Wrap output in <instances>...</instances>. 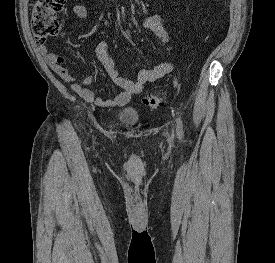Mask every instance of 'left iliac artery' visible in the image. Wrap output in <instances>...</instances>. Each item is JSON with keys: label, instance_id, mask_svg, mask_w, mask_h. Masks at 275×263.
I'll list each match as a JSON object with an SVG mask.
<instances>
[{"label": "left iliac artery", "instance_id": "1", "mask_svg": "<svg viewBox=\"0 0 275 263\" xmlns=\"http://www.w3.org/2000/svg\"><path fill=\"white\" fill-rule=\"evenodd\" d=\"M177 133L179 138L182 139L184 136V132H183V124L180 118L177 121Z\"/></svg>", "mask_w": 275, "mask_h": 263}]
</instances>
